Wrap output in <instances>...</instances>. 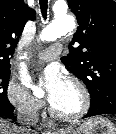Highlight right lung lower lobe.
Here are the masks:
<instances>
[{"mask_svg": "<svg viewBox=\"0 0 116 134\" xmlns=\"http://www.w3.org/2000/svg\"><path fill=\"white\" fill-rule=\"evenodd\" d=\"M0 117L14 118V107L5 111L4 113H0Z\"/></svg>", "mask_w": 116, "mask_h": 134, "instance_id": "98d812e1", "label": "right lung lower lobe"}]
</instances>
